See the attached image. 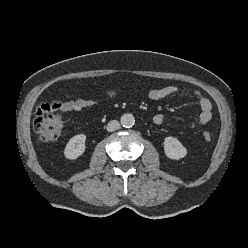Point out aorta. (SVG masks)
Here are the masks:
<instances>
[{
	"mask_svg": "<svg viewBox=\"0 0 248 248\" xmlns=\"http://www.w3.org/2000/svg\"><path fill=\"white\" fill-rule=\"evenodd\" d=\"M121 125L125 128H130L135 124V118L131 113H126L121 116Z\"/></svg>",
	"mask_w": 248,
	"mask_h": 248,
	"instance_id": "1",
	"label": "aorta"
}]
</instances>
